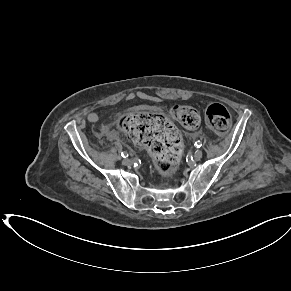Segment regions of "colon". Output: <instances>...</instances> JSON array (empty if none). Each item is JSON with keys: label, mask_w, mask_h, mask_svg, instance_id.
I'll use <instances>...</instances> for the list:
<instances>
[{"label": "colon", "mask_w": 291, "mask_h": 291, "mask_svg": "<svg viewBox=\"0 0 291 291\" xmlns=\"http://www.w3.org/2000/svg\"><path fill=\"white\" fill-rule=\"evenodd\" d=\"M172 116L184 127L195 129L200 124V115L192 107L176 105ZM206 123L216 132H224L231 125V115L221 104H210L205 110ZM119 127L137 145L148 149L156 158L158 170L170 176L181 156L182 141L175 126L164 116L135 112L119 119Z\"/></svg>", "instance_id": "obj_1"}]
</instances>
